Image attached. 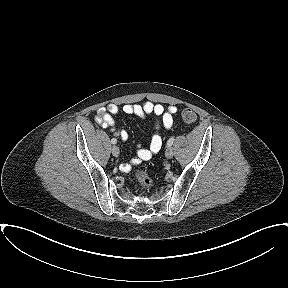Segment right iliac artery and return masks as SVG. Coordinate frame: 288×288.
<instances>
[{
  "mask_svg": "<svg viewBox=\"0 0 288 288\" xmlns=\"http://www.w3.org/2000/svg\"><path fill=\"white\" fill-rule=\"evenodd\" d=\"M111 143H112V144H116V143H117V140H116L115 138H112V139H111Z\"/></svg>",
  "mask_w": 288,
  "mask_h": 288,
  "instance_id": "right-iliac-artery-1",
  "label": "right iliac artery"
}]
</instances>
